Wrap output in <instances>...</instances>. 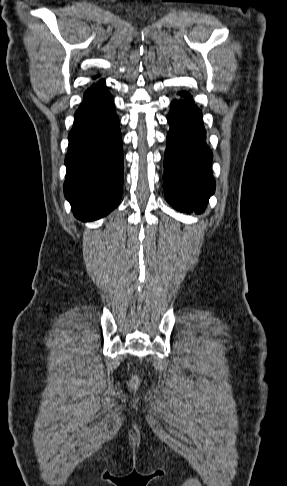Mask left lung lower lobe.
<instances>
[{"label":"left lung lower lobe","mask_w":287,"mask_h":486,"mask_svg":"<svg viewBox=\"0 0 287 486\" xmlns=\"http://www.w3.org/2000/svg\"><path fill=\"white\" fill-rule=\"evenodd\" d=\"M171 103L167 116L170 130L164 156L166 200L180 211L203 210L214 193L212 152L205 142L201 110L187 92Z\"/></svg>","instance_id":"left-lung-lower-lobe-1"}]
</instances>
